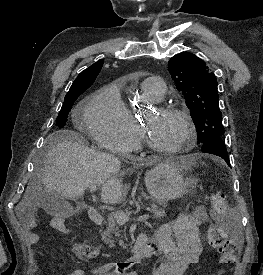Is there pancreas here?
I'll use <instances>...</instances> for the list:
<instances>
[{
	"mask_svg": "<svg viewBox=\"0 0 263 275\" xmlns=\"http://www.w3.org/2000/svg\"><path fill=\"white\" fill-rule=\"evenodd\" d=\"M151 204V212L153 213V218L160 219L166 216V212L164 209L158 208V206L155 204V200L152 199ZM120 212V211H117ZM117 212L110 213L107 218V228L106 230L101 233L102 240L109 244L110 247H114L115 241L112 239V235L115 234V236H120V229L117 225V221L115 218V215Z\"/></svg>",
	"mask_w": 263,
	"mask_h": 275,
	"instance_id": "pancreas-1",
	"label": "pancreas"
}]
</instances>
